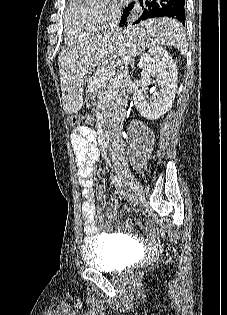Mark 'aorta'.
Wrapping results in <instances>:
<instances>
[{
	"mask_svg": "<svg viewBox=\"0 0 227 315\" xmlns=\"http://www.w3.org/2000/svg\"><path fill=\"white\" fill-rule=\"evenodd\" d=\"M87 4L91 5H101L104 4L107 0H85Z\"/></svg>",
	"mask_w": 227,
	"mask_h": 315,
	"instance_id": "762f6f07",
	"label": "aorta"
}]
</instances>
